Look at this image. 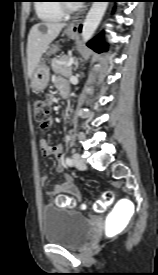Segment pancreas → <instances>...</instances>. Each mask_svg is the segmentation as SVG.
<instances>
[{"label": "pancreas", "instance_id": "cf45deb5", "mask_svg": "<svg viewBox=\"0 0 158 275\" xmlns=\"http://www.w3.org/2000/svg\"><path fill=\"white\" fill-rule=\"evenodd\" d=\"M68 60V56L52 59L51 68L53 72L55 74H60L66 77L70 76L72 74V67L67 65Z\"/></svg>", "mask_w": 158, "mask_h": 275}]
</instances>
